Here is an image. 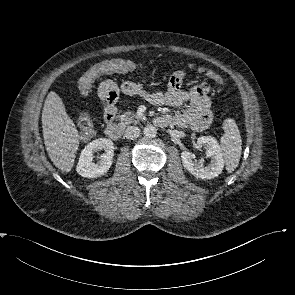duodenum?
I'll use <instances>...</instances> for the list:
<instances>
[{"label": "duodenum", "instance_id": "1", "mask_svg": "<svg viewBox=\"0 0 295 295\" xmlns=\"http://www.w3.org/2000/svg\"><path fill=\"white\" fill-rule=\"evenodd\" d=\"M169 122H170V119L165 115L158 116L156 118V123L161 126L168 125ZM123 130H124V126L122 124L111 123L106 128V135L111 140H119L122 137Z\"/></svg>", "mask_w": 295, "mask_h": 295}]
</instances>
